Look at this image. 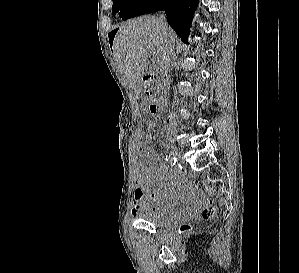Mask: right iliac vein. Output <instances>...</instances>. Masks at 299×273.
Wrapping results in <instances>:
<instances>
[{"label": "right iliac vein", "mask_w": 299, "mask_h": 273, "mask_svg": "<svg viewBox=\"0 0 299 273\" xmlns=\"http://www.w3.org/2000/svg\"><path fill=\"white\" fill-rule=\"evenodd\" d=\"M169 151L171 155H173L176 159L180 160L181 159V151L179 148H177L174 145H169Z\"/></svg>", "instance_id": "right-iliac-vein-1"}]
</instances>
